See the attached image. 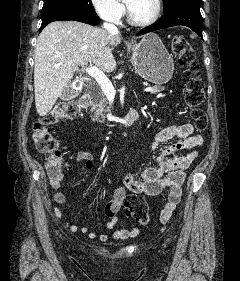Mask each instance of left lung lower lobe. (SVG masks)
<instances>
[{"label":"left lung lower lobe","instance_id":"1","mask_svg":"<svg viewBox=\"0 0 240 281\" xmlns=\"http://www.w3.org/2000/svg\"><path fill=\"white\" fill-rule=\"evenodd\" d=\"M200 2L186 0L173 5L165 11V15L156 23L140 30L137 36L152 32L158 29L168 28L176 25H183L191 28L202 38V16L200 13Z\"/></svg>","mask_w":240,"mask_h":281}]
</instances>
